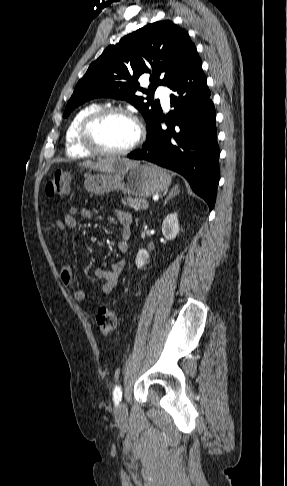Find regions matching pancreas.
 <instances>
[{
  "mask_svg": "<svg viewBox=\"0 0 287 486\" xmlns=\"http://www.w3.org/2000/svg\"><path fill=\"white\" fill-rule=\"evenodd\" d=\"M121 202L130 208H133L136 211L143 210V205L147 203L145 199L141 198H132V197H127L121 200Z\"/></svg>",
  "mask_w": 287,
  "mask_h": 486,
  "instance_id": "1",
  "label": "pancreas"
}]
</instances>
